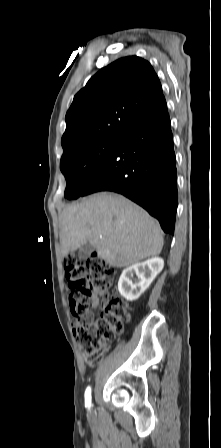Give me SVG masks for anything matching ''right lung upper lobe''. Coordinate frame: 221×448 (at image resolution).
I'll use <instances>...</instances> for the list:
<instances>
[{
    "mask_svg": "<svg viewBox=\"0 0 221 448\" xmlns=\"http://www.w3.org/2000/svg\"><path fill=\"white\" fill-rule=\"evenodd\" d=\"M164 102L161 83L148 61L137 56L116 60L75 95L65 117L63 155L84 143L119 136Z\"/></svg>",
    "mask_w": 221,
    "mask_h": 448,
    "instance_id": "1",
    "label": "right lung upper lobe"
}]
</instances>
